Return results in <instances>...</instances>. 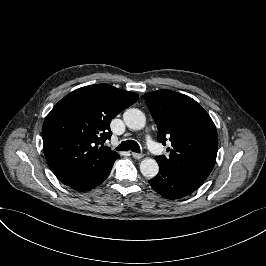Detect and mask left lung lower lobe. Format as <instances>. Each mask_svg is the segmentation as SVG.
<instances>
[{
    "mask_svg": "<svg viewBox=\"0 0 266 266\" xmlns=\"http://www.w3.org/2000/svg\"><path fill=\"white\" fill-rule=\"evenodd\" d=\"M159 164V173L149 181L152 188L167 199L185 197L194 192L201 181L164 164Z\"/></svg>",
    "mask_w": 266,
    "mask_h": 266,
    "instance_id": "1",
    "label": "left lung lower lobe"
}]
</instances>
